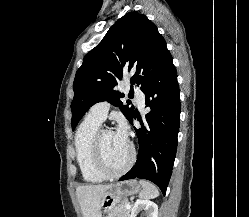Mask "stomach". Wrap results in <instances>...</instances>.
Masks as SVG:
<instances>
[{
    "instance_id": "0dacf381",
    "label": "stomach",
    "mask_w": 249,
    "mask_h": 217,
    "mask_svg": "<svg viewBox=\"0 0 249 217\" xmlns=\"http://www.w3.org/2000/svg\"><path fill=\"white\" fill-rule=\"evenodd\" d=\"M140 189V184L136 180L118 182L105 192L100 209L104 213H110L126 197L139 193Z\"/></svg>"
}]
</instances>
